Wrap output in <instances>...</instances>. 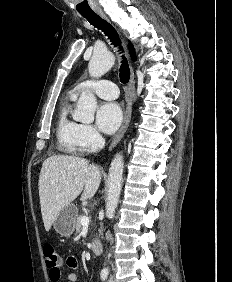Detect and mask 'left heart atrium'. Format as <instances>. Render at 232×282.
<instances>
[{"label":"left heart atrium","mask_w":232,"mask_h":282,"mask_svg":"<svg viewBox=\"0 0 232 282\" xmlns=\"http://www.w3.org/2000/svg\"><path fill=\"white\" fill-rule=\"evenodd\" d=\"M96 122L101 131L111 134L117 130L122 122V110L115 102H106L99 106Z\"/></svg>","instance_id":"left-heart-atrium-1"}]
</instances>
